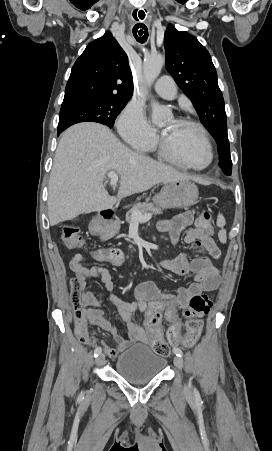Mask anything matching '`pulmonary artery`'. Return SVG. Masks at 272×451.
<instances>
[{
    "label": "pulmonary artery",
    "instance_id": "e3ab8cb5",
    "mask_svg": "<svg viewBox=\"0 0 272 451\" xmlns=\"http://www.w3.org/2000/svg\"><path fill=\"white\" fill-rule=\"evenodd\" d=\"M154 89L156 93L164 99L173 100L177 95V87L174 79L170 76H164L158 79Z\"/></svg>",
    "mask_w": 272,
    "mask_h": 451
}]
</instances>
